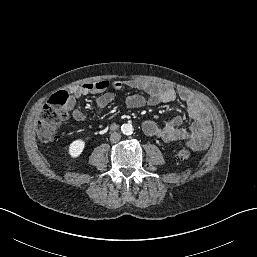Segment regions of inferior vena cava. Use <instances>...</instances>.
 Returning a JSON list of instances; mask_svg holds the SVG:
<instances>
[{"label":"inferior vena cava","instance_id":"602c4592","mask_svg":"<svg viewBox=\"0 0 257 257\" xmlns=\"http://www.w3.org/2000/svg\"><path fill=\"white\" fill-rule=\"evenodd\" d=\"M120 139H121V135H120V133H118V132H113V133L110 135V141H111L112 143H116V142H118Z\"/></svg>","mask_w":257,"mask_h":257}]
</instances>
